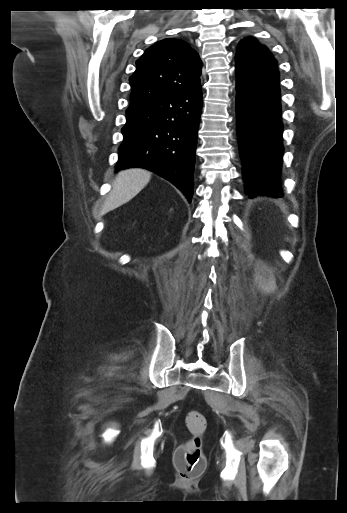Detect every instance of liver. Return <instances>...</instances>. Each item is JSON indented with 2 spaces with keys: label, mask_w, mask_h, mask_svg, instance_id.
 I'll return each mask as SVG.
<instances>
[{
  "label": "liver",
  "mask_w": 347,
  "mask_h": 513,
  "mask_svg": "<svg viewBox=\"0 0 347 513\" xmlns=\"http://www.w3.org/2000/svg\"><path fill=\"white\" fill-rule=\"evenodd\" d=\"M151 172L142 168H130L120 171L110 196L104 203L102 213L112 211L133 199L150 181Z\"/></svg>",
  "instance_id": "6515ba94"
}]
</instances>
